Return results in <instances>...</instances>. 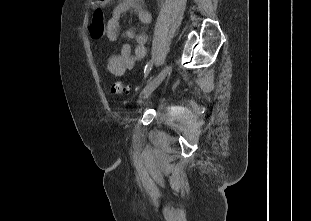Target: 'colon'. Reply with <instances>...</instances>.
Masks as SVG:
<instances>
[{
	"label": "colon",
	"mask_w": 311,
	"mask_h": 221,
	"mask_svg": "<svg viewBox=\"0 0 311 221\" xmlns=\"http://www.w3.org/2000/svg\"><path fill=\"white\" fill-rule=\"evenodd\" d=\"M89 30L94 38H102L107 30L104 14L101 10L94 12L93 21L89 25ZM111 92L113 94H128L129 87L123 82H115L112 85Z\"/></svg>",
	"instance_id": "1"
}]
</instances>
